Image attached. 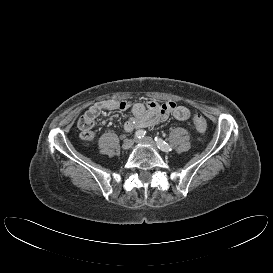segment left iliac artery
<instances>
[{
    "label": "left iliac artery",
    "mask_w": 273,
    "mask_h": 273,
    "mask_svg": "<svg viewBox=\"0 0 273 273\" xmlns=\"http://www.w3.org/2000/svg\"><path fill=\"white\" fill-rule=\"evenodd\" d=\"M155 141H156L158 148L161 149L162 151L169 152L172 150V147L168 143L163 141L161 138L155 137Z\"/></svg>",
    "instance_id": "44dca946"
}]
</instances>
